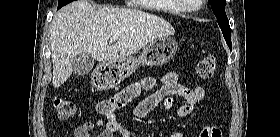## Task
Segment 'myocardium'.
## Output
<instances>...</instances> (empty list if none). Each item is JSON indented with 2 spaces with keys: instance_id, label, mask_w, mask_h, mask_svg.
Wrapping results in <instances>:
<instances>
[{
  "instance_id": "f54148a6",
  "label": "myocardium",
  "mask_w": 280,
  "mask_h": 137,
  "mask_svg": "<svg viewBox=\"0 0 280 137\" xmlns=\"http://www.w3.org/2000/svg\"><path fill=\"white\" fill-rule=\"evenodd\" d=\"M199 2H200V4H199L198 6L201 5V3L203 2V0H199ZM183 6H184L186 9L191 10V11H195V10L198 8V6H193V5H190V4H184Z\"/></svg>"
}]
</instances>
